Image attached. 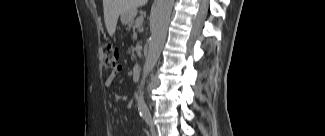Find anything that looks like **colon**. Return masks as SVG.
<instances>
[{
	"label": "colon",
	"instance_id": "5ec220e1",
	"mask_svg": "<svg viewBox=\"0 0 325 136\" xmlns=\"http://www.w3.org/2000/svg\"><path fill=\"white\" fill-rule=\"evenodd\" d=\"M102 52L105 65L109 68H114L118 60V50L111 44H104Z\"/></svg>",
	"mask_w": 325,
	"mask_h": 136
}]
</instances>
